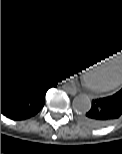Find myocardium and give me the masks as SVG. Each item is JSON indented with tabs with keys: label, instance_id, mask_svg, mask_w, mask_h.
<instances>
[{
	"label": "myocardium",
	"instance_id": "1",
	"mask_svg": "<svg viewBox=\"0 0 122 154\" xmlns=\"http://www.w3.org/2000/svg\"><path fill=\"white\" fill-rule=\"evenodd\" d=\"M90 63H93V61L91 60V61L85 62V64H90ZM120 84H122V74L116 80L107 84L98 85V84L91 83L89 85V89L94 92H105L116 88Z\"/></svg>",
	"mask_w": 122,
	"mask_h": 154
}]
</instances>
